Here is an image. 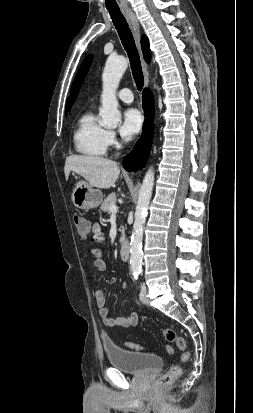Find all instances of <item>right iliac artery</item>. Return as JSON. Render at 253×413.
Here are the masks:
<instances>
[{
  "label": "right iliac artery",
  "mask_w": 253,
  "mask_h": 413,
  "mask_svg": "<svg viewBox=\"0 0 253 413\" xmlns=\"http://www.w3.org/2000/svg\"><path fill=\"white\" fill-rule=\"evenodd\" d=\"M134 277H135V279H137L138 278V274L136 273V274H134Z\"/></svg>",
  "instance_id": "right-iliac-artery-1"
}]
</instances>
